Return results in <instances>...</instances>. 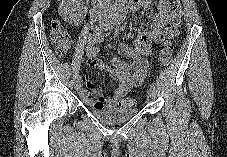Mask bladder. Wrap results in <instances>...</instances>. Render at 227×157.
I'll return each instance as SVG.
<instances>
[{
  "instance_id": "obj_1",
  "label": "bladder",
  "mask_w": 227,
  "mask_h": 157,
  "mask_svg": "<svg viewBox=\"0 0 227 157\" xmlns=\"http://www.w3.org/2000/svg\"><path fill=\"white\" fill-rule=\"evenodd\" d=\"M138 111L135 107H107L91 110L96 118L106 124L125 122L134 117Z\"/></svg>"
}]
</instances>
